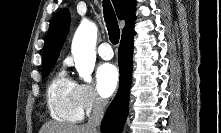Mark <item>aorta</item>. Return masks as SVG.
<instances>
[{
    "instance_id": "aorta-1",
    "label": "aorta",
    "mask_w": 221,
    "mask_h": 133,
    "mask_svg": "<svg viewBox=\"0 0 221 133\" xmlns=\"http://www.w3.org/2000/svg\"><path fill=\"white\" fill-rule=\"evenodd\" d=\"M96 39V25L84 20L79 25L72 41L71 49L76 70L79 77L87 83L92 81L91 74L96 61Z\"/></svg>"
}]
</instances>
